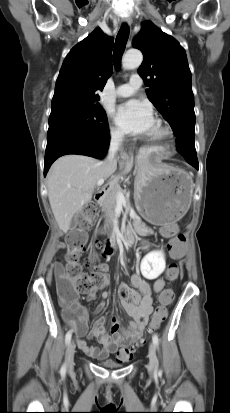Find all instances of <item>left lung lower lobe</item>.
<instances>
[{
  "label": "left lung lower lobe",
  "instance_id": "obj_1",
  "mask_svg": "<svg viewBox=\"0 0 230 413\" xmlns=\"http://www.w3.org/2000/svg\"><path fill=\"white\" fill-rule=\"evenodd\" d=\"M179 141L182 144H186V145L188 144V142H187L188 140L186 138H179ZM192 144H193V142H192ZM194 146H195V142H194ZM181 154L190 165H192L193 167H195L198 170L199 164H198V159H197L196 153L185 152V153H181Z\"/></svg>",
  "mask_w": 230,
  "mask_h": 413
}]
</instances>
